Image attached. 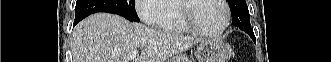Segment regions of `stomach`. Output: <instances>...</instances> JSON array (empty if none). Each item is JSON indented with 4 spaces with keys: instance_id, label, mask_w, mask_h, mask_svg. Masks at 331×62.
I'll return each instance as SVG.
<instances>
[{
    "instance_id": "0dacf381",
    "label": "stomach",
    "mask_w": 331,
    "mask_h": 62,
    "mask_svg": "<svg viewBox=\"0 0 331 62\" xmlns=\"http://www.w3.org/2000/svg\"><path fill=\"white\" fill-rule=\"evenodd\" d=\"M231 55V47L219 39L203 40L196 50L198 62H228Z\"/></svg>"
}]
</instances>
